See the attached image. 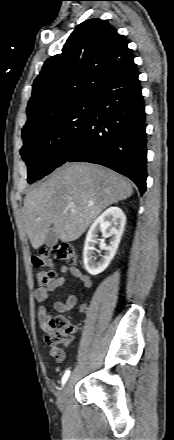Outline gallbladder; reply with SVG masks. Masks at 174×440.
<instances>
[{"instance_id": "1", "label": "gallbladder", "mask_w": 174, "mask_h": 440, "mask_svg": "<svg viewBox=\"0 0 174 440\" xmlns=\"http://www.w3.org/2000/svg\"><path fill=\"white\" fill-rule=\"evenodd\" d=\"M58 241L57 234L53 227H51L46 235L45 244L48 247H53Z\"/></svg>"}]
</instances>
